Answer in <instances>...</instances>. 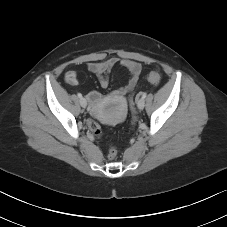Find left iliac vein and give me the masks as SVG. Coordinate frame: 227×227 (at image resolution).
<instances>
[{
  "mask_svg": "<svg viewBox=\"0 0 227 227\" xmlns=\"http://www.w3.org/2000/svg\"><path fill=\"white\" fill-rule=\"evenodd\" d=\"M137 107L138 109L142 110L145 107V101L143 98H141L138 102H137Z\"/></svg>",
  "mask_w": 227,
  "mask_h": 227,
  "instance_id": "left-iliac-vein-1",
  "label": "left iliac vein"
}]
</instances>
